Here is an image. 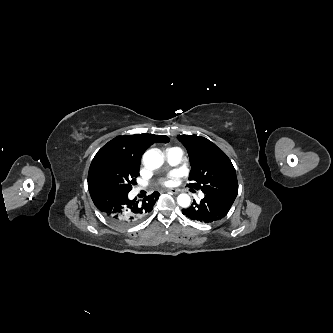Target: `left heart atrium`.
<instances>
[{"label":"left heart atrium","mask_w":333,"mask_h":333,"mask_svg":"<svg viewBox=\"0 0 333 333\" xmlns=\"http://www.w3.org/2000/svg\"><path fill=\"white\" fill-rule=\"evenodd\" d=\"M174 180H175V175H170L169 177H167L162 181V185L166 187L172 186L174 184Z\"/></svg>","instance_id":"left-heart-atrium-1"}]
</instances>
